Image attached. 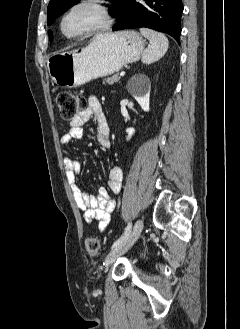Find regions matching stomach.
Listing matches in <instances>:
<instances>
[{"mask_svg":"<svg viewBox=\"0 0 240 329\" xmlns=\"http://www.w3.org/2000/svg\"><path fill=\"white\" fill-rule=\"evenodd\" d=\"M144 46V39L136 31L102 33L87 47L53 53L48 58L47 68L56 84L76 88L138 61Z\"/></svg>","mask_w":240,"mask_h":329,"instance_id":"1","label":"stomach"}]
</instances>
